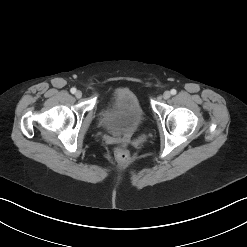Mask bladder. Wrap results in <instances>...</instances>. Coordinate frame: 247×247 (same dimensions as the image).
I'll return each mask as SVG.
<instances>
[{
  "label": "bladder",
  "mask_w": 247,
  "mask_h": 247,
  "mask_svg": "<svg viewBox=\"0 0 247 247\" xmlns=\"http://www.w3.org/2000/svg\"><path fill=\"white\" fill-rule=\"evenodd\" d=\"M108 106L101 113L103 129L116 133L138 130L146 119L145 111L137 94L129 88H119L108 98Z\"/></svg>",
  "instance_id": "obj_1"
}]
</instances>
